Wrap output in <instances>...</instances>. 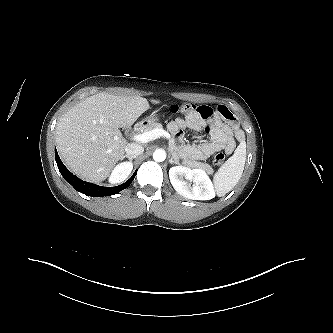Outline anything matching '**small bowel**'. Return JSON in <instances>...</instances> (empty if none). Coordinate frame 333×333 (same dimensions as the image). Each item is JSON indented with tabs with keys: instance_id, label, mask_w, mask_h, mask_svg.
Returning a JSON list of instances; mask_svg holds the SVG:
<instances>
[{
	"instance_id": "1",
	"label": "small bowel",
	"mask_w": 333,
	"mask_h": 333,
	"mask_svg": "<svg viewBox=\"0 0 333 333\" xmlns=\"http://www.w3.org/2000/svg\"><path fill=\"white\" fill-rule=\"evenodd\" d=\"M186 127L195 131L205 130L210 136L208 141L200 144L180 145L184 156L196 160H205L221 150L230 154L236 147V141L244 139L237 119L225 105H219L215 110L209 106H200L198 110L188 112L184 118H176L168 124L170 132L180 142H183L182 130Z\"/></svg>"
}]
</instances>
